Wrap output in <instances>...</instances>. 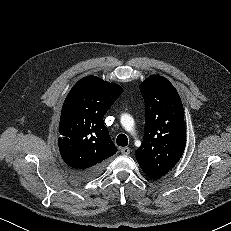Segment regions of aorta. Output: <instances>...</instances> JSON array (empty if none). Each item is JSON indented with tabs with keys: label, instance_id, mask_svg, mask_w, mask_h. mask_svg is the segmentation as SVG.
I'll return each mask as SVG.
<instances>
[{
	"label": "aorta",
	"instance_id": "1",
	"mask_svg": "<svg viewBox=\"0 0 231 231\" xmlns=\"http://www.w3.org/2000/svg\"><path fill=\"white\" fill-rule=\"evenodd\" d=\"M121 124L128 132H133L134 119L129 114H123L121 116Z\"/></svg>",
	"mask_w": 231,
	"mask_h": 231
}]
</instances>
